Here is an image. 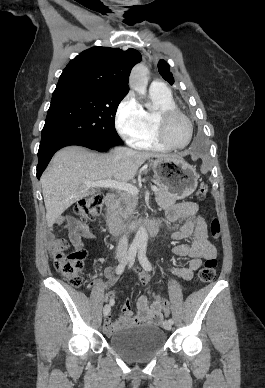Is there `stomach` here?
<instances>
[{
  "instance_id": "stomach-1",
  "label": "stomach",
  "mask_w": 265,
  "mask_h": 388,
  "mask_svg": "<svg viewBox=\"0 0 265 388\" xmlns=\"http://www.w3.org/2000/svg\"><path fill=\"white\" fill-rule=\"evenodd\" d=\"M156 181L171 193L175 200L191 195L198 184V176L193 166L183 158H157L152 164Z\"/></svg>"
}]
</instances>
